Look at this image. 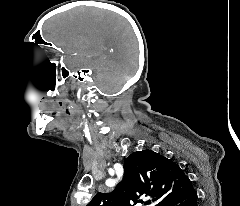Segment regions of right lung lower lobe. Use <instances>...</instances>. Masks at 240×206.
Wrapping results in <instances>:
<instances>
[{
	"label": "right lung lower lobe",
	"instance_id": "obj_1",
	"mask_svg": "<svg viewBox=\"0 0 240 206\" xmlns=\"http://www.w3.org/2000/svg\"><path fill=\"white\" fill-rule=\"evenodd\" d=\"M163 206H197V193L191 185L184 193L172 198Z\"/></svg>",
	"mask_w": 240,
	"mask_h": 206
}]
</instances>
